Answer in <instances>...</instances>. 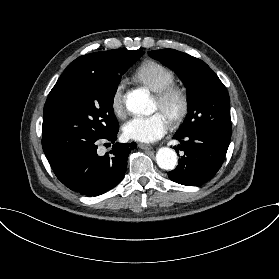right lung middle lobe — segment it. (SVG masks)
Masks as SVG:
<instances>
[{
    "label": "right lung middle lobe",
    "instance_id": "obj_1",
    "mask_svg": "<svg viewBox=\"0 0 279 279\" xmlns=\"http://www.w3.org/2000/svg\"><path fill=\"white\" fill-rule=\"evenodd\" d=\"M143 54L127 50L103 72H63L44 106L42 147L47 159L68 147L104 139L118 127L113 100L121 75Z\"/></svg>",
    "mask_w": 279,
    "mask_h": 279
}]
</instances>
